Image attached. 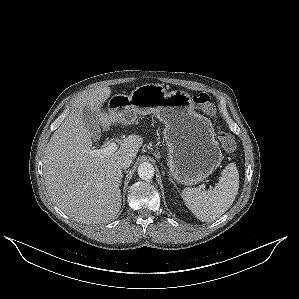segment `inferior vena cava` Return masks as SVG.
I'll list each match as a JSON object with an SVG mask.
<instances>
[{"mask_svg": "<svg viewBox=\"0 0 299 299\" xmlns=\"http://www.w3.org/2000/svg\"><path fill=\"white\" fill-rule=\"evenodd\" d=\"M133 156L130 153H126L124 155H122L118 161L117 164L121 169H126L130 166V164L132 163V158Z\"/></svg>", "mask_w": 299, "mask_h": 299, "instance_id": "obj_1", "label": "inferior vena cava"}]
</instances>
